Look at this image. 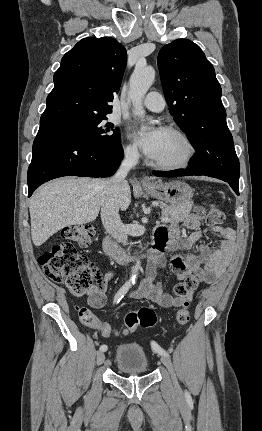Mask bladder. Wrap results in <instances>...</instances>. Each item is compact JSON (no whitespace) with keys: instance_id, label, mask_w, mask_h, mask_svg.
<instances>
[{"instance_id":"obj_1","label":"bladder","mask_w":262,"mask_h":431,"mask_svg":"<svg viewBox=\"0 0 262 431\" xmlns=\"http://www.w3.org/2000/svg\"><path fill=\"white\" fill-rule=\"evenodd\" d=\"M116 365L125 373H145L148 358L142 346L136 343H123L116 348Z\"/></svg>"}]
</instances>
